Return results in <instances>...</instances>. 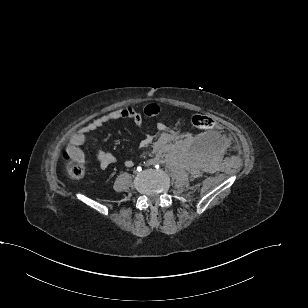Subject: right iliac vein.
Returning <instances> with one entry per match:
<instances>
[{
    "label": "right iliac vein",
    "mask_w": 308,
    "mask_h": 308,
    "mask_svg": "<svg viewBox=\"0 0 308 308\" xmlns=\"http://www.w3.org/2000/svg\"><path fill=\"white\" fill-rule=\"evenodd\" d=\"M134 174H138V171L137 170H134V172H133Z\"/></svg>",
    "instance_id": "right-iliac-vein-1"
}]
</instances>
